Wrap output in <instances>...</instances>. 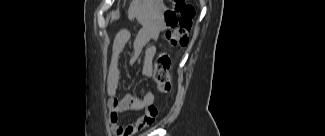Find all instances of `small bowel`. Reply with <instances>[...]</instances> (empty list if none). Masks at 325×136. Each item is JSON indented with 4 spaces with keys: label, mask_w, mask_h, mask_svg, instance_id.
Instances as JSON below:
<instances>
[{
    "label": "small bowel",
    "mask_w": 325,
    "mask_h": 136,
    "mask_svg": "<svg viewBox=\"0 0 325 136\" xmlns=\"http://www.w3.org/2000/svg\"><path fill=\"white\" fill-rule=\"evenodd\" d=\"M161 28L160 19L152 16L143 23L133 40V60H136L144 51L142 73L146 78L151 77L153 59L156 53V47L149 44L159 37ZM130 36L131 34L128 29H123L117 33L112 46L110 65L106 78L110 121L116 136H133L139 133L151 126L157 115V109L154 106L155 95L152 91L146 92L142 97L132 93L126 94L123 97L117 95L120 81L119 59L125 45L130 40ZM128 110L144 111V115L133 124L123 126L118 121L119 114Z\"/></svg>",
    "instance_id": "small-bowel-1"
}]
</instances>
